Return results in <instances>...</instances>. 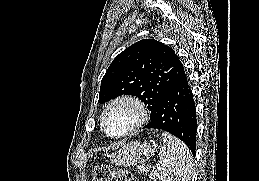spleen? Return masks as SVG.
Instances as JSON below:
<instances>
[{
    "mask_svg": "<svg viewBox=\"0 0 259 181\" xmlns=\"http://www.w3.org/2000/svg\"><path fill=\"white\" fill-rule=\"evenodd\" d=\"M160 160L150 174L153 181H188L193 170V156L189 148L175 136L163 132Z\"/></svg>",
    "mask_w": 259,
    "mask_h": 181,
    "instance_id": "1",
    "label": "spleen"
}]
</instances>
